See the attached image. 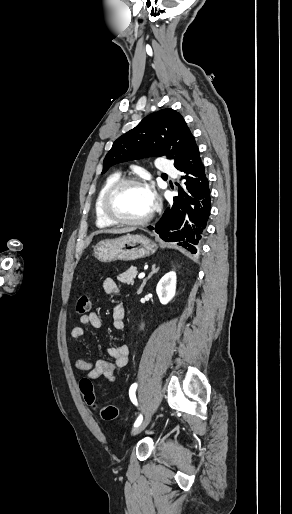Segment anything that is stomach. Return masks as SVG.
<instances>
[{"instance_id": "obj_1", "label": "stomach", "mask_w": 292, "mask_h": 514, "mask_svg": "<svg viewBox=\"0 0 292 514\" xmlns=\"http://www.w3.org/2000/svg\"><path fill=\"white\" fill-rule=\"evenodd\" d=\"M157 246L146 236L127 234L115 240H102L94 248V256L99 262H115V260H139L156 252Z\"/></svg>"}]
</instances>
